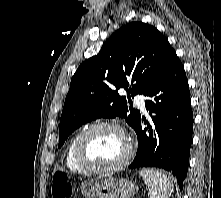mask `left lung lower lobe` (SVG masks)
<instances>
[{"instance_id": "0a47b994", "label": "left lung lower lobe", "mask_w": 221, "mask_h": 198, "mask_svg": "<svg viewBox=\"0 0 221 198\" xmlns=\"http://www.w3.org/2000/svg\"><path fill=\"white\" fill-rule=\"evenodd\" d=\"M145 102L152 123L141 127V117L134 126L138 152L129 168L158 167L178 178L180 189L187 175L192 142L193 112L184 67L174 52L162 73L146 89Z\"/></svg>"}]
</instances>
